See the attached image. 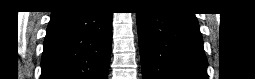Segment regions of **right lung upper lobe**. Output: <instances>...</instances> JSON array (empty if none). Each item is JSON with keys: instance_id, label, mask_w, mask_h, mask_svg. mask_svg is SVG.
<instances>
[{"instance_id": "cb5924a9", "label": "right lung upper lobe", "mask_w": 255, "mask_h": 79, "mask_svg": "<svg viewBox=\"0 0 255 79\" xmlns=\"http://www.w3.org/2000/svg\"><path fill=\"white\" fill-rule=\"evenodd\" d=\"M87 1L84 0H66V1H62V6H66V5H73V4H79V3H84Z\"/></svg>"}]
</instances>
